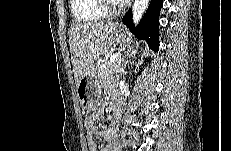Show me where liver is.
Wrapping results in <instances>:
<instances>
[{"instance_id":"obj_1","label":"liver","mask_w":231,"mask_h":151,"mask_svg":"<svg viewBox=\"0 0 231 151\" xmlns=\"http://www.w3.org/2000/svg\"><path fill=\"white\" fill-rule=\"evenodd\" d=\"M115 29L113 22L83 23L70 27L69 46L76 86L93 62L110 51L115 42Z\"/></svg>"}]
</instances>
